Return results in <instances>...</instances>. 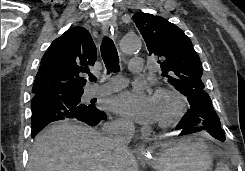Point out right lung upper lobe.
<instances>
[{"label":"right lung upper lobe","instance_id":"right-lung-upper-lobe-1","mask_svg":"<svg viewBox=\"0 0 245 171\" xmlns=\"http://www.w3.org/2000/svg\"><path fill=\"white\" fill-rule=\"evenodd\" d=\"M96 57L90 33L80 26L70 28L55 39L43 55L32 93H83L86 80L81 75L94 66Z\"/></svg>","mask_w":245,"mask_h":171}]
</instances>
